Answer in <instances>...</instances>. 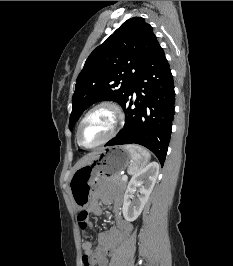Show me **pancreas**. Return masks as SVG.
Instances as JSON below:
<instances>
[{
  "instance_id": "cf45deb5",
  "label": "pancreas",
  "mask_w": 233,
  "mask_h": 266,
  "mask_svg": "<svg viewBox=\"0 0 233 266\" xmlns=\"http://www.w3.org/2000/svg\"><path fill=\"white\" fill-rule=\"evenodd\" d=\"M108 181L115 183L121 187H124L126 185V181L122 180V177L120 174H114L111 177L108 178Z\"/></svg>"
}]
</instances>
